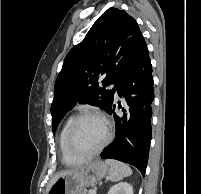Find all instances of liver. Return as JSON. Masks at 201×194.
<instances>
[{"mask_svg": "<svg viewBox=\"0 0 201 194\" xmlns=\"http://www.w3.org/2000/svg\"><path fill=\"white\" fill-rule=\"evenodd\" d=\"M76 169H74V170H69V171H62V172H59V173H57L55 176H54V178L50 181V183H49V185H48V187H47V191L50 189V187L53 185V183L59 178V177H61V176H63V175H66V174H68V173H71V172H73V171H75Z\"/></svg>", "mask_w": 201, "mask_h": 194, "instance_id": "liver-1", "label": "liver"}]
</instances>
